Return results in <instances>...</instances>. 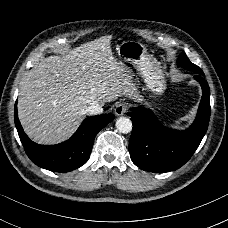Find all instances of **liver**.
Here are the masks:
<instances>
[{"instance_id": "1", "label": "liver", "mask_w": 228, "mask_h": 228, "mask_svg": "<svg viewBox=\"0 0 228 228\" xmlns=\"http://www.w3.org/2000/svg\"><path fill=\"white\" fill-rule=\"evenodd\" d=\"M112 36H105L39 62L22 79L19 117L37 142L68 137L93 103H109L137 95L135 72L114 56Z\"/></svg>"}]
</instances>
